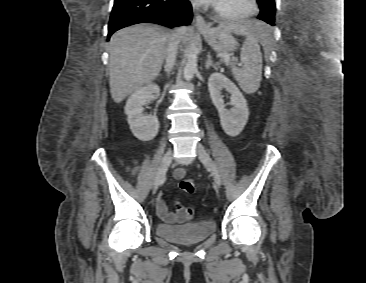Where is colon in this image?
<instances>
[{"label":"colon","instance_id":"obj_1","mask_svg":"<svg viewBox=\"0 0 366 283\" xmlns=\"http://www.w3.org/2000/svg\"><path fill=\"white\" fill-rule=\"evenodd\" d=\"M180 188L186 193H194L196 184L193 179H183L180 182Z\"/></svg>","mask_w":366,"mask_h":283}]
</instances>
